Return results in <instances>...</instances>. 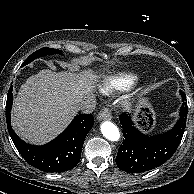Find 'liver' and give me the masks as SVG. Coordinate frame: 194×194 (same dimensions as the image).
<instances>
[{
  "label": "liver",
  "mask_w": 194,
  "mask_h": 194,
  "mask_svg": "<svg viewBox=\"0 0 194 194\" xmlns=\"http://www.w3.org/2000/svg\"><path fill=\"white\" fill-rule=\"evenodd\" d=\"M100 75L92 71L41 70L20 87L12 108V126L25 141L44 144L60 134L91 96Z\"/></svg>",
  "instance_id": "1"
}]
</instances>
